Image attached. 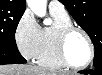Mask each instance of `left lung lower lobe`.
Listing matches in <instances>:
<instances>
[{
  "label": "left lung lower lobe",
  "mask_w": 102,
  "mask_h": 75,
  "mask_svg": "<svg viewBox=\"0 0 102 75\" xmlns=\"http://www.w3.org/2000/svg\"><path fill=\"white\" fill-rule=\"evenodd\" d=\"M82 74H91V75H101L102 74V66L95 67L94 70H84L80 71Z\"/></svg>",
  "instance_id": "left-lung-lower-lobe-1"
}]
</instances>
